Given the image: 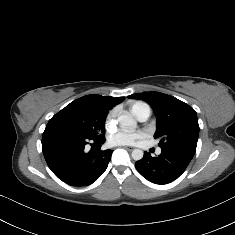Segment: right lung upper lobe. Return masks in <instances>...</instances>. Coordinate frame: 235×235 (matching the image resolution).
<instances>
[{"label":"right lung upper lobe","instance_id":"cb5924a9","mask_svg":"<svg viewBox=\"0 0 235 235\" xmlns=\"http://www.w3.org/2000/svg\"><path fill=\"white\" fill-rule=\"evenodd\" d=\"M125 98L124 97H104L101 95H87L83 96L70 104H80L84 105L105 113H108V111L115 105L121 103Z\"/></svg>","mask_w":235,"mask_h":235}]
</instances>
